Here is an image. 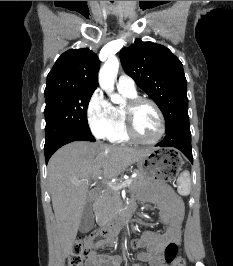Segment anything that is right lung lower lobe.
<instances>
[{
	"label": "right lung lower lobe",
	"instance_id": "right-lung-lower-lobe-1",
	"mask_svg": "<svg viewBox=\"0 0 233 266\" xmlns=\"http://www.w3.org/2000/svg\"><path fill=\"white\" fill-rule=\"evenodd\" d=\"M78 140H86V141H91L94 142L95 138L91 133L88 132H76V133H71L68 135H64L55 141H53L50 144H47L44 146V153H45V160L46 164L49 160V158L52 156V154L59 149L61 146L73 142V141H78Z\"/></svg>",
	"mask_w": 233,
	"mask_h": 266
}]
</instances>
